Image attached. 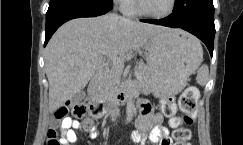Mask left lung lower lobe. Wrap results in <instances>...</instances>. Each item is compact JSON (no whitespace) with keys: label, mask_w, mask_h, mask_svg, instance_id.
Instances as JSON below:
<instances>
[{"label":"left lung lower lobe","mask_w":243,"mask_h":145,"mask_svg":"<svg viewBox=\"0 0 243 145\" xmlns=\"http://www.w3.org/2000/svg\"><path fill=\"white\" fill-rule=\"evenodd\" d=\"M146 23L164 25L173 28H182L202 40L207 46L211 56L213 54V43L215 36V26L201 25L190 22L182 17L177 11H173L171 15L160 20H141Z\"/></svg>","instance_id":"left-lung-lower-lobe-1"}]
</instances>
